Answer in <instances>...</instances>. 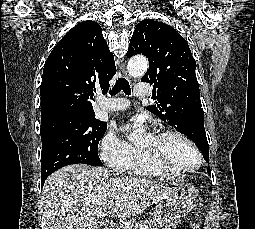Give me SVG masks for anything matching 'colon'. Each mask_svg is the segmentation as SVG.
Returning <instances> with one entry per match:
<instances>
[{
    "label": "colon",
    "mask_w": 255,
    "mask_h": 229,
    "mask_svg": "<svg viewBox=\"0 0 255 229\" xmlns=\"http://www.w3.org/2000/svg\"><path fill=\"white\" fill-rule=\"evenodd\" d=\"M173 229H194L187 220L178 221Z\"/></svg>",
    "instance_id": "colon-1"
}]
</instances>
